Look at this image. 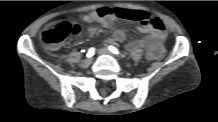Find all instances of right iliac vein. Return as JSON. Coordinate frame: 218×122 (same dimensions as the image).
Listing matches in <instances>:
<instances>
[{"label":"right iliac vein","mask_w":218,"mask_h":122,"mask_svg":"<svg viewBox=\"0 0 218 122\" xmlns=\"http://www.w3.org/2000/svg\"><path fill=\"white\" fill-rule=\"evenodd\" d=\"M91 62H92V59L90 57H88L82 61L81 67L87 68L90 66Z\"/></svg>","instance_id":"right-iliac-vein-1"}]
</instances>
